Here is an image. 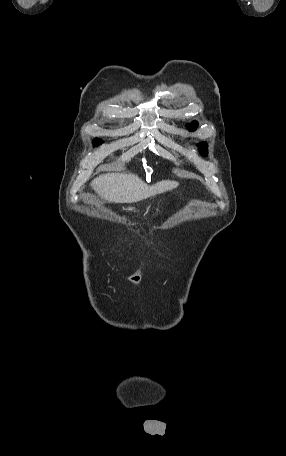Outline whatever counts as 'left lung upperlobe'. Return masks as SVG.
I'll return each mask as SVG.
<instances>
[{"instance_id": "5c2ea615", "label": "left lung upper lobe", "mask_w": 286, "mask_h": 456, "mask_svg": "<svg viewBox=\"0 0 286 456\" xmlns=\"http://www.w3.org/2000/svg\"><path fill=\"white\" fill-rule=\"evenodd\" d=\"M196 127H197V122H195V121L189 125L190 130H194V129H196ZM198 146H199L200 153L202 155H206L207 154V144L202 142Z\"/></svg>"}]
</instances>
